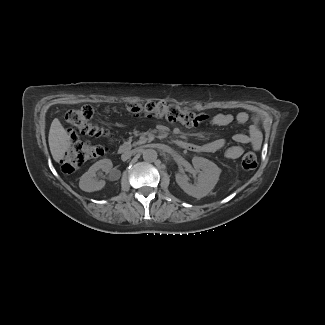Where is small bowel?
Listing matches in <instances>:
<instances>
[{
    "instance_id": "c3829d8e",
    "label": "small bowel",
    "mask_w": 325,
    "mask_h": 325,
    "mask_svg": "<svg viewBox=\"0 0 325 325\" xmlns=\"http://www.w3.org/2000/svg\"><path fill=\"white\" fill-rule=\"evenodd\" d=\"M248 120V115L246 112H239L236 114L232 113H219L208 117V124L214 127H225L230 126L234 123L244 124ZM64 133L69 139L67 141V146L69 148H75L82 142L83 134L79 130L73 129L71 126H66L64 128ZM236 145L231 146L226 149V156L230 159L239 158L244 149L243 145L251 141V137L245 133H239L235 136ZM226 146V141L224 139H215L206 144L195 146V149L203 152H216L223 149Z\"/></svg>"
}]
</instances>
